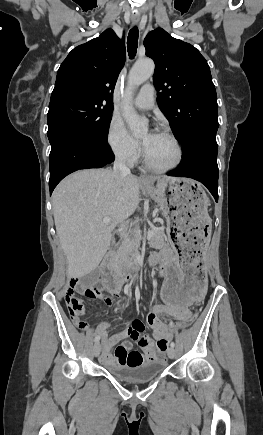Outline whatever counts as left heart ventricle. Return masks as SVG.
I'll return each mask as SVG.
<instances>
[{
  "label": "left heart ventricle",
  "mask_w": 263,
  "mask_h": 435,
  "mask_svg": "<svg viewBox=\"0 0 263 435\" xmlns=\"http://www.w3.org/2000/svg\"><path fill=\"white\" fill-rule=\"evenodd\" d=\"M149 134L143 136L144 142ZM147 155L152 164L159 167L169 166L177 158V150L174 143L167 137L157 133L145 146Z\"/></svg>",
  "instance_id": "b2bd125f"
}]
</instances>
